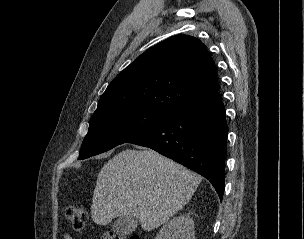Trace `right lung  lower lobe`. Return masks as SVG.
<instances>
[{
	"instance_id": "right-lung-lower-lobe-1",
	"label": "right lung lower lobe",
	"mask_w": 304,
	"mask_h": 239,
	"mask_svg": "<svg viewBox=\"0 0 304 239\" xmlns=\"http://www.w3.org/2000/svg\"><path fill=\"white\" fill-rule=\"evenodd\" d=\"M227 136L225 108L216 91L128 143L149 147L201 174L222 200Z\"/></svg>"
}]
</instances>
